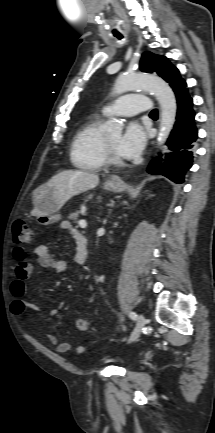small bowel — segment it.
<instances>
[{
  "instance_id": "obj_1",
  "label": "small bowel",
  "mask_w": 215,
  "mask_h": 433,
  "mask_svg": "<svg viewBox=\"0 0 215 433\" xmlns=\"http://www.w3.org/2000/svg\"><path fill=\"white\" fill-rule=\"evenodd\" d=\"M62 227L69 230L76 242L75 262L79 263V250L81 244L86 241L85 238L72 227L69 222L62 224ZM34 254L38 259L41 266L52 269L58 274L64 273L67 269V264L63 260L55 259L49 248L46 245H38L34 249ZM15 258L18 263L14 270V278L10 283V293L14 298L12 304V311L17 316H25L29 310H37V306L25 300L26 281L29 279L32 264L25 260V252L23 249H16L14 252ZM56 310L49 312V316H55ZM50 342L55 346L56 351L59 353H66L71 349V344L67 341H59L55 335H49ZM85 350L83 345H78L76 351L82 353Z\"/></svg>"
}]
</instances>
